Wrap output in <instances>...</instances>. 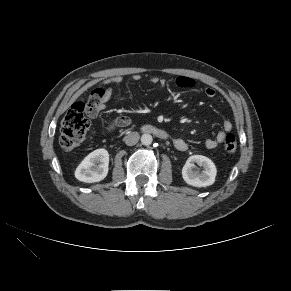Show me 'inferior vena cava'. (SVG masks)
Here are the masks:
<instances>
[{"label":"inferior vena cava","mask_w":291,"mask_h":291,"mask_svg":"<svg viewBox=\"0 0 291 291\" xmlns=\"http://www.w3.org/2000/svg\"><path fill=\"white\" fill-rule=\"evenodd\" d=\"M139 138H140V136H139L138 132H132V133L128 134L127 136H125L124 141H125L126 145L133 146L139 141Z\"/></svg>","instance_id":"1"}]
</instances>
